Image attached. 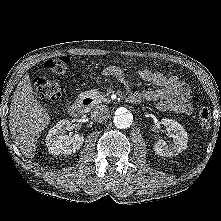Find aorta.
I'll return each mask as SVG.
<instances>
[{
  "label": "aorta",
  "mask_w": 221,
  "mask_h": 221,
  "mask_svg": "<svg viewBox=\"0 0 221 221\" xmlns=\"http://www.w3.org/2000/svg\"><path fill=\"white\" fill-rule=\"evenodd\" d=\"M113 122L114 125L119 129L128 128L133 123V114L126 108H119L115 112Z\"/></svg>",
  "instance_id": "762f6f07"
}]
</instances>
